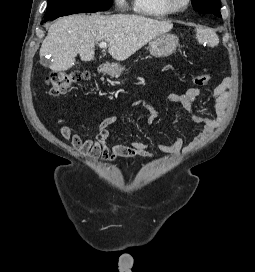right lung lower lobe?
Listing matches in <instances>:
<instances>
[{
    "label": "right lung lower lobe",
    "instance_id": "1",
    "mask_svg": "<svg viewBox=\"0 0 255 272\" xmlns=\"http://www.w3.org/2000/svg\"><path fill=\"white\" fill-rule=\"evenodd\" d=\"M58 17H60V16H55V17H52V18H45L44 22H46V21H52V20H54V19H56Z\"/></svg>",
    "mask_w": 255,
    "mask_h": 272
}]
</instances>
